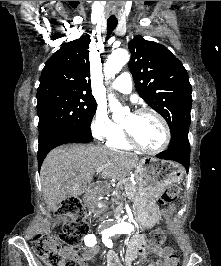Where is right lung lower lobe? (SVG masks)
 Wrapping results in <instances>:
<instances>
[{
  "mask_svg": "<svg viewBox=\"0 0 221 266\" xmlns=\"http://www.w3.org/2000/svg\"><path fill=\"white\" fill-rule=\"evenodd\" d=\"M92 140V135L89 136L76 131H64L51 136L44 142L39 143L38 169L41 168L44 158L53 148L66 143H89Z\"/></svg>",
  "mask_w": 221,
  "mask_h": 266,
  "instance_id": "obj_1",
  "label": "right lung lower lobe"
}]
</instances>
